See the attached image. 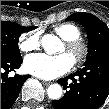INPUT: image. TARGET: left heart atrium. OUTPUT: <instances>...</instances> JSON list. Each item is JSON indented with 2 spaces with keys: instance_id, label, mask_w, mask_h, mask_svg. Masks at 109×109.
<instances>
[{
  "instance_id": "39dd6f15",
  "label": "left heart atrium",
  "mask_w": 109,
  "mask_h": 109,
  "mask_svg": "<svg viewBox=\"0 0 109 109\" xmlns=\"http://www.w3.org/2000/svg\"><path fill=\"white\" fill-rule=\"evenodd\" d=\"M73 67V61L68 54L57 56L37 53L29 55L24 60L26 72L46 80L58 78L68 73Z\"/></svg>"
}]
</instances>
